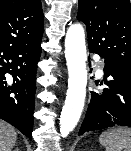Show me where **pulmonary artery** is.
Returning a JSON list of instances; mask_svg holds the SVG:
<instances>
[{
    "label": "pulmonary artery",
    "mask_w": 131,
    "mask_h": 151,
    "mask_svg": "<svg viewBox=\"0 0 131 151\" xmlns=\"http://www.w3.org/2000/svg\"><path fill=\"white\" fill-rule=\"evenodd\" d=\"M97 73L98 74H102V71L100 69H98Z\"/></svg>",
    "instance_id": "1"
}]
</instances>
